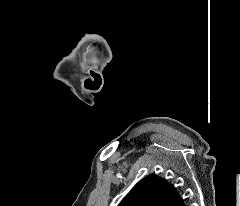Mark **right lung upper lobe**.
<instances>
[{
    "instance_id": "1",
    "label": "right lung upper lobe",
    "mask_w": 240,
    "mask_h": 206,
    "mask_svg": "<svg viewBox=\"0 0 240 206\" xmlns=\"http://www.w3.org/2000/svg\"><path fill=\"white\" fill-rule=\"evenodd\" d=\"M118 206H185L175 187L150 174L138 182Z\"/></svg>"
}]
</instances>
